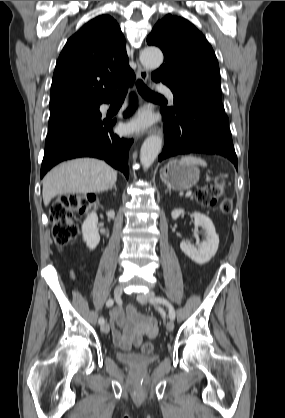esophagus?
<instances>
[{
	"instance_id": "esophagus-1",
	"label": "esophagus",
	"mask_w": 285,
	"mask_h": 418,
	"mask_svg": "<svg viewBox=\"0 0 285 418\" xmlns=\"http://www.w3.org/2000/svg\"><path fill=\"white\" fill-rule=\"evenodd\" d=\"M137 75L143 81H147L149 77L148 71L145 68H143L138 62H137ZM149 133L161 135L162 129L160 127H153L149 130Z\"/></svg>"
}]
</instances>
